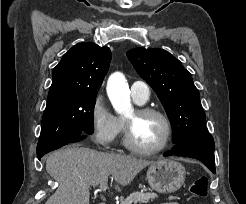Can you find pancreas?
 Masks as SVG:
<instances>
[{
	"instance_id": "1",
	"label": "pancreas",
	"mask_w": 246,
	"mask_h": 204,
	"mask_svg": "<svg viewBox=\"0 0 246 204\" xmlns=\"http://www.w3.org/2000/svg\"><path fill=\"white\" fill-rule=\"evenodd\" d=\"M156 198H158V195L155 193L134 192L122 200L120 204H143L153 201Z\"/></svg>"
}]
</instances>
